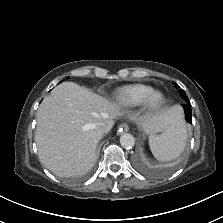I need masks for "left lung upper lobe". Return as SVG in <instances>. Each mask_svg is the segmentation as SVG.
Listing matches in <instances>:
<instances>
[{"mask_svg": "<svg viewBox=\"0 0 223 223\" xmlns=\"http://www.w3.org/2000/svg\"><path fill=\"white\" fill-rule=\"evenodd\" d=\"M174 86H175L176 88H179V86H178L176 83H174ZM179 93H180L181 97H182L185 101H189V100H188V97H187V95H186V93H185L184 90H180Z\"/></svg>", "mask_w": 223, "mask_h": 223, "instance_id": "left-lung-upper-lobe-1", "label": "left lung upper lobe"}]
</instances>
